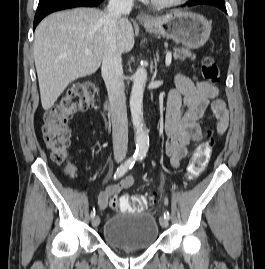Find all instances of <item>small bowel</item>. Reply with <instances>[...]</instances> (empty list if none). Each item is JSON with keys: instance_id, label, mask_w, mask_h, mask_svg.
Instances as JSON below:
<instances>
[{"instance_id": "c3829d8e", "label": "small bowel", "mask_w": 265, "mask_h": 269, "mask_svg": "<svg viewBox=\"0 0 265 269\" xmlns=\"http://www.w3.org/2000/svg\"><path fill=\"white\" fill-rule=\"evenodd\" d=\"M207 108L215 115L217 132L222 135L228 126V111L225 102L218 98V89L196 77L178 75L167 96L165 119V154L173 168H178L187 157L190 144L200 139L201 130L197 122ZM133 184L134 178L129 175L107 186L98 195V207L105 210L113 197Z\"/></svg>"}]
</instances>
